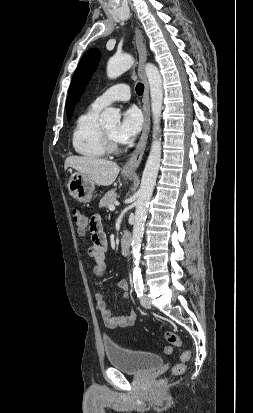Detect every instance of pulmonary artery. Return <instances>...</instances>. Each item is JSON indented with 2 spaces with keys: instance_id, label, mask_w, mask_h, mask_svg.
Returning a JSON list of instances; mask_svg holds the SVG:
<instances>
[{
  "instance_id": "pulmonary-artery-1",
  "label": "pulmonary artery",
  "mask_w": 253,
  "mask_h": 413,
  "mask_svg": "<svg viewBox=\"0 0 253 413\" xmlns=\"http://www.w3.org/2000/svg\"><path fill=\"white\" fill-rule=\"evenodd\" d=\"M130 96V87L127 84L120 83L108 88L105 92L99 95L93 102V105L103 109L116 101H128Z\"/></svg>"
}]
</instances>
